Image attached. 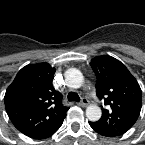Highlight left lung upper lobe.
<instances>
[{"mask_svg": "<svg viewBox=\"0 0 145 145\" xmlns=\"http://www.w3.org/2000/svg\"><path fill=\"white\" fill-rule=\"evenodd\" d=\"M90 65L97 77V96L106 105L101 119L92 124L112 136L123 135L139 117L140 86L126 66L111 56L95 57Z\"/></svg>", "mask_w": 145, "mask_h": 145, "instance_id": "1", "label": "left lung upper lobe"}]
</instances>
